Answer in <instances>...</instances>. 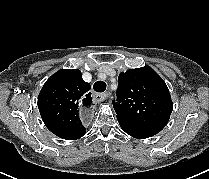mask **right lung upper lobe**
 <instances>
[{
  "label": "right lung upper lobe",
  "instance_id": "obj_1",
  "mask_svg": "<svg viewBox=\"0 0 209 179\" xmlns=\"http://www.w3.org/2000/svg\"><path fill=\"white\" fill-rule=\"evenodd\" d=\"M90 88L78 69H62L46 81L38 96V108L52 133L66 140H76L85 134L79 110L92 105Z\"/></svg>",
  "mask_w": 209,
  "mask_h": 179
}]
</instances>
